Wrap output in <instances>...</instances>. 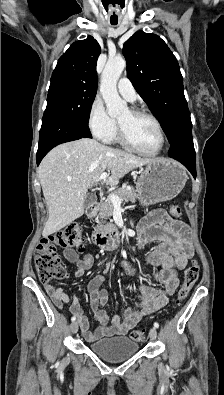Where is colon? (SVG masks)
Instances as JSON below:
<instances>
[{
    "label": "colon",
    "instance_id": "5ec220e1",
    "mask_svg": "<svg viewBox=\"0 0 224 395\" xmlns=\"http://www.w3.org/2000/svg\"><path fill=\"white\" fill-rule=\"evenodd\" d=\"M169 211L174 218H179L182 214L178 205H171ZM82 242L81 229L76 225L67 226L44 237L39 242L34 257L39 278L43 282L64 279L67 276V271L61 263L57 247L80 249ZM198 277L199 264L197 260H193L192 264L185 270L184 281L177 292L176 305H180L187 298ZM131 339L138 342L143 341L145 339V331L140 329L132 331Z\"/></svg>",
    "mask_w": 224,
    "mask_h": 395
}]
</instances>
